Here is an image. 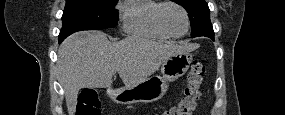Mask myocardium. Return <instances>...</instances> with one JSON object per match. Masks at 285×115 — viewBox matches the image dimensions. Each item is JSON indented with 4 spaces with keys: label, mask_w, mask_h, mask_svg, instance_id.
<instances>
[{
    "label": "myocardium",
    "mask_w": 285,
    "mask_h": 115,
    "mask_svg": "<svg viewBox=\"0 0 285 115\" xmlns=\"http://www.w3.org/2000/svg\"><path fill=\"white\" fill-rule=\"evenodd\" d=\"M167 6H175L183 12L185 22H186V29L183 33L173 34L165 26L163 19H162V12H163L164 8ZM156 20H157L159 27L171 38H180V37L185 36L187 34V32L189 31V28H190V18H189V14H188L187 10L182 5L175 3V2H171V1H165V2L160 3V5L158 6V9H157V13H156Z\"/></svg>",
    "instance_id": "myocardium-1"
}]
</instances>
